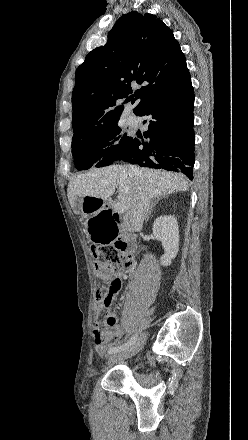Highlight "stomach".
<instances>
[{
  "label": "stomach",
  "mask_w": 248,
  "mask_h": 440,
  "mask_svg": "<svg viewBox=\"0 0 248 440\" xmlns=\"http://www.w3.org/2000/svg\"><path fill=\"white\" fill-rule=\"evenodd\" d=\"M82 197L76 202L77 218H87L86 230L90 246H109L118 235L117 224L111 209H101L102 200Z\"/></svg>",
  "instance_id": "1"
}]
</instances>
